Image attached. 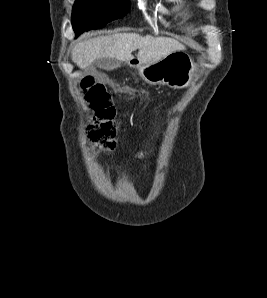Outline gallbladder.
Returning a JSON list of instances; mask_svg holds the SVG:
<instances>
[{"label":"gallbladder","instance_id":"gallbladder-1","mask_svg":"<svg viewBox=\"0 0 267 298\" xmlns=\"http://www.w3.org/2000/svg\"><path fill=\"white\" fill-rule=\"evenodd\" d=\"M94 66H97L101 69H110V68H113V67L117 66V62L114 61L111 58H103V59L96 60L94 62ZM94 66L88 67L86 72L88 74H94V72H95V67Z\"/></svg>","mask_w":267,"mask_h":298}]
</instances>
